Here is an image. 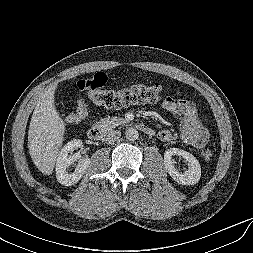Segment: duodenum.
<instances>
[{
    "instance_id": "obj_1",
    "label": "duodenum",
    "mask_w": 253,
    "mask_h": 253,
    "mask_svg": "<svg viewBox=\"0 0 253 253\" xmlns=\"http://www.w3.org/2000/svg\"><path fill=\"white\" fill-rule=\"evenodd\" d=\"M138 129L141 130L143 133L147 135H152L153 130L152 128L145 124V123H140L137 125ZM103 136V129L99 125H92L89 130H88V137L91 140H100Z\"/></svg>"
}]
</instances>
